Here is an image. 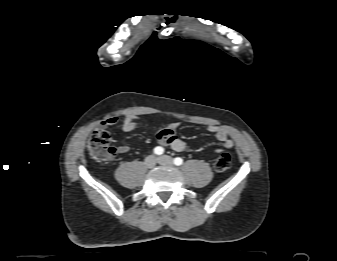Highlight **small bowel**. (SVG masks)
Listing matches in <instances>:
<instances>
[{
	"label": "small bowel",
	"mask_w": 337,
	"mask_h": 261,
	"mask_svg": "<svg viewBox=\"0 0 337 261\" xmlns=\"http://www.w3.org/2000/svg\"><path fill=\"white\" fill-rule=\"evenodd\" d=\"M118 123L117 117H109L100 123V128L105 129L109 126L116 125ZM122 130L125 132H131L140 127L137 118L134 115L124 116L121 124ZM179 127L178 122H172L161 127H158L154 131V136L158 143L162 146H169L171 149L177 152H182L186 149V143L176 135V129ZM207 130L214 134L218 141L222 145V149L216 150L221 152L223 150H230L233 147V140L228 136L225 129L217 125H209ZM130 148L127 145H120L118 147L119 153H127Z\"/></svg>",
	"instance_id": "small-bowel-1"
}]
</instances>
